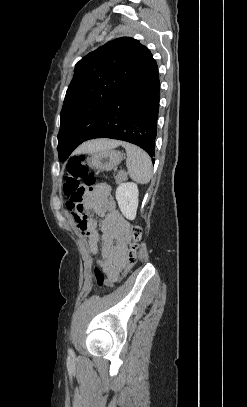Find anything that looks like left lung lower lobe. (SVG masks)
I'll list each match as a JSON object with an SVG mask.
<instances>
[{
    "label": "left lung lower lobe",
    "instance_id": "obj_1",
    "mask_svg": "<svg viewBox=\"0 0 247 407\" xmlns=\"http://www.w3.org/2000/svg\"><path fill=\"white\" fill-rule=\"evenodd\" d=\"M159 90L158 67L152 58L112 100L84 141L95 138L127 141L144 149L154 163Z\"/></svg>",
    "mask_w": 247,
    "mask_h": 407
}]
</instances>
